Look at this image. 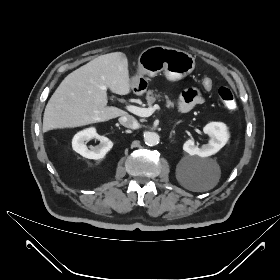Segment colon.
I'll return each mask as SVG.
<instances>
[{
    "label": "colon",
    "mask_w": 280,
    "mask_h": 280,
    "mask_svg": "<svg viewBox=\"0 0 280 280\" xmlns=\"http://www.w3.org/2000/svg\"><path fill=\"white\" fill-rule=\"evenodd\" d=\"M202 88L206 92H211L215 88V83L211 79H206L202 83ZM219 97L224 106L229 110L236 108V99L233 92L227 87H220L218 90Z\"/></svg>",
    "instance_id": "5ec220e1"
}]
</instances>
